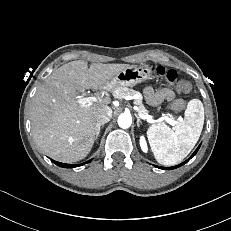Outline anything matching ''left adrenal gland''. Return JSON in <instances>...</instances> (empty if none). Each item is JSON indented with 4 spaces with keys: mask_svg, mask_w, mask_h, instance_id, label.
Returning a JSON list of instances; mask_svg holds the SVG:
<instances>
[{
    "mask_svg": "<svg viewBox=\"0 0 231 231\" xmlns=\"http://www.w3.org/2000/svg\"><path fill=\"white\" fill-rule=\"evenodd\" d=\"M136 118H137V126L140 127V124H142L140 118L138 116H136Z\"/></svg>",
    "mask_w": 231,
    "mask_h": 231,
    "instance_id": "a2214340",
    "label": "left adrenal gland"
}]
</instances>
